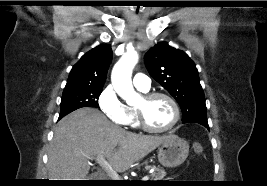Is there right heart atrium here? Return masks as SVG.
<instances>
[{
  "label": "right heart atrium",
  "instance_id": "right-heart-atrium-1",
  "mask_svg": "<svg viewBox=\"0 0 267 186\" xmlns=\"http://www.w3.org/2000/svg\"><path fill=\"white\" fill-rule=\"evenodd\" d=\"M98 106L110 121L126 125L125 105L117 97L111 86H106L99 94Z\"/></svg>",
  "mask_w": 267,
  "mask_h": 186
}]
</instances>
